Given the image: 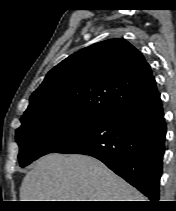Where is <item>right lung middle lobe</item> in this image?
I'll list each match as a JSON object with an SVG mask.
<instances>
[{"mask_svg":"<svg viewBox=\"0 0 176 211\" xmlns=\"http://www.w3.org/2000/svg\"><path fill=\"white\" fill-rule=\"evenodd\" d=\"M107 115L48 108L21 118L16 130L21 167L70 144L99 125Z\"/></svg>","mask_w":176,"mask_h":211,"instance_id":"dd1d6c3e","label":"right lung middle lobe"}]
</instances>
